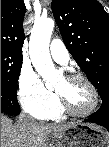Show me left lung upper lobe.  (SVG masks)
Wrapping results in <instances>:
<instances>
[{
	"instance_id": "5c2ea615",
	"label": "left lung upper lobe",
	"mask_w": 109,
	"mask_h": 147,
	"mask_svg": "<svg viewBox=\"0 0 109 147\" xmlns=\"http://www.w3.org/2000/svg\"><path fill=\"white\" fill-rule=\"evenodd\" d=\"M52 12L63 41L79 67L109 97V16L97 0H53Z\"/></svg>"
}]
</instances>
